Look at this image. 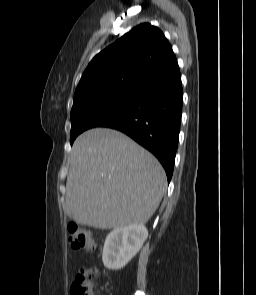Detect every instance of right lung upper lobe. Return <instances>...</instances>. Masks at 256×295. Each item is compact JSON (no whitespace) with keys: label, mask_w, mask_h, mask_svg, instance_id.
Wrapping results in <instances>:
<instances>
[{"label":"right lung upper lobe","mask_w":256,"mask_h":295,"mask_svg":"<svg viewBox=\"0 0 256 295\" xmlns=\"http://www.w3.org/2000/svg\"><path fill=\"white\" fill-rule=\"evenodd\" d=\"M175 58L160 29L140 24L92 59L76 88L74 101L92 103L136 92Z\"/></svg>","instance_id":"1"}]
</instances>
